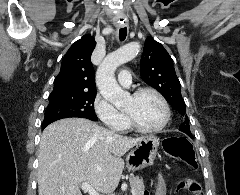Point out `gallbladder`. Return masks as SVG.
<instances>
[{
    "label": "gallbladder",
    "mask_w": 240,
    "mask_h": 195,
    "mask_svg": "<svg viewBox=\"0 0 240 195\" xmlns=\"http://www.w3.org/2000/svg\"><path fill=\"white\" fill-rule=\"evenodd\" d=\"M84 195H89V193H88V192H85Z\"/></svg>",
    "instance_id": "gallbladder-1"
}]
</instances>
